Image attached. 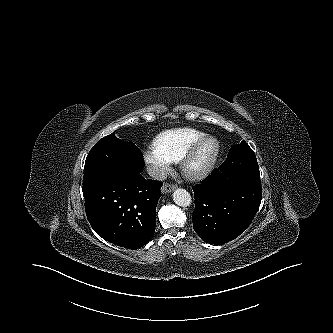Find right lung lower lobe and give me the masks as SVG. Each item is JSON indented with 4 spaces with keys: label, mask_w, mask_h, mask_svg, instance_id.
<instances>
[{
    "label": "right lung lower lobe",
    "mask_w": 333,
    "mask_h": 333,
    "mask_svg": "<svg viewBox=\"0 0 333 333\" xmlns=\"http://www.w3.org/2000/svg\"><path fill=\"white\" fill-rule=\"evenodd\" d=\"M162 183L141 172L110 176L83 185L89 223L104 240L128 249L147 244L155 231Z\"/></svg>",
    "instance_id": "right-lung-lower-lobe-1"
}]
</instances>
